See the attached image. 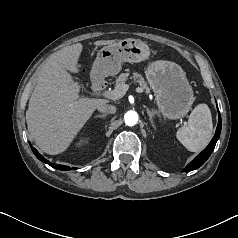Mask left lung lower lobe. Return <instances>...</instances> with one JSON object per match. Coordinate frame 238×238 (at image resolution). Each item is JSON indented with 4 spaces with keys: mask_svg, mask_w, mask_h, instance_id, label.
Wrapping results in <instances>:
<instances>
[{
    "mask_svg": "<svg viewBox=\"0 0 238 238\" xmlns=\"http://www.w3.org/2000/svg\"><path fill=\"white\" fill-rule=\"evenodd\" d=\"M218 113H219V111H218ZM220 133H221V116L219 113L218 126H217L216 133H215L213 139L211 140L209 145L194 160H192L186 166V168H185L186 172L195 170L205 163V161L209 158L212 151L214 150L216 142L219 139Z\"/></svg>",
    "mask_w": 238,
    "mask_h": 238,
    "instance_id": "0a47b994",
    "label": "left lung lower lobe"
}]
</instances>
